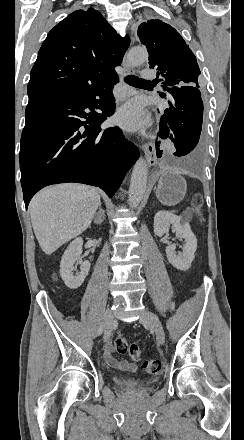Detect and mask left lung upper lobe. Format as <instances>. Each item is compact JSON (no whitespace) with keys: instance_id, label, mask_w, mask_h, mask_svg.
I'll return each mask as SVG.
<instances>
[{"instance_id":"5c2ea615","label":"left lung upper lobe","mask_w":244,"mask_h":440,"mask_svg":"<svg viewBox=\"0 0 244 440\" xmlns=\"http://www.w3.org/2000/svg\"><path fill=\"white\" fill-rule=\"evenodd\" d=\"M138 37L149 53L150 68L163 76V85L199 87L200 69L196 57L181 35L159 19L148 20L138 28Z\"/></svg>"}]
</instances>
